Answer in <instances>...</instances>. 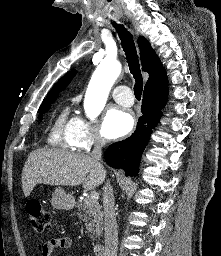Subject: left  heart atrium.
I'll use <instances>...</instances> for the list:
<instances>
[{
  "instance_id": "left-heart-atrium-1",
  "label": "left heart atrium",
  "mask_w": 221,
  "mask_h": 256,
  "mask_svg": "<svg viewBox=\"0 0 221 256\" xmlns=\"http://www.w3.org/2000/svg\"><path fill=\"white\" fill-rule=\"evenodd\" d=\"M131 113L117 106H111L105 113L102 131L108 139H116L126 135L133 127Z\"/></svg>"
}]
</instances>
